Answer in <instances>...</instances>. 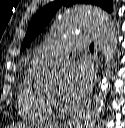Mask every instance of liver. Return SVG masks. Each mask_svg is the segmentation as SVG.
Returning a JSON list of instances; mask_svg holds the SVG:
<instances>
[{
    "mask_svg": "<svg viewBox=\"0 0 125 128\" xmlns=\"http://www.w3.org/2000/svg\"><path fill=\"white\" fill-rule=\"evenodd\" d=\"M11 128H30V126L24 125V124H18V125L11 126Z\"/></svg>",
    "mask_w": 125,
    "mask_h": 128,
    "instance_id": "liver-1",
    "label": "liver"
}]
</instances>
